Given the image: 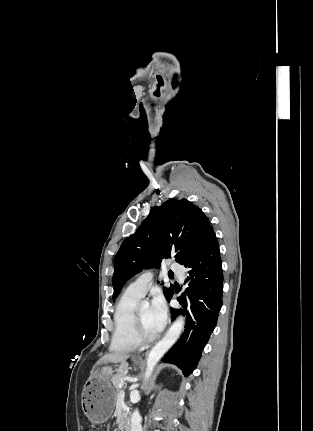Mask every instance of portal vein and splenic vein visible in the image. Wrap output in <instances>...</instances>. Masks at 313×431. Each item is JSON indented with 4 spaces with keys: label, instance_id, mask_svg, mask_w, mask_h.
Wrapping results in <instances>:
<instances>
[{
    "label": "portal vein and splenic vein",
    "instance_id": "obj_1",
    "mask_svg": "<svg viewBox=\"0 0 313 431\" xmlns=\"http://www.w3.org/2000/svg\"><path fill=\"white\" fill-rule=\"evenodd\" d=\"M118 387H119V389H120L119 394H120V395H124V391H123L124 384H123V383H120Z\"/></svg>",
    "mask_w": 313,
    "mask_h": 431
}]
</instances>
